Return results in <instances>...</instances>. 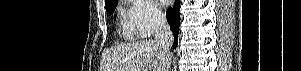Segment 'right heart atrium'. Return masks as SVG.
Returning a JSON list of instances; mask_svg holds the SVG:
<instances>
[{
	"label": "right heart atrium",
	"instance_id": "obj_1",
	"mask_svg": "<svg viewBox=\"0 0 301 71\" xmlns=\"http://www.w3.org/2000/svg\"><path fill=\"white\" fill-rule=\"evenodd\" d=\"M128 22L133 32L141 38L149 37L160 28L164 15L151 0H129Z\"/></svg>",
	"mask_w": 301,
	"mask_h": 71
}]
</instances>
